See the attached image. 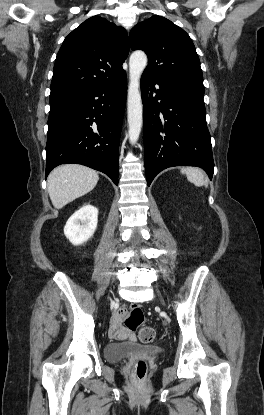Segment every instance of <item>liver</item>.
I'll use <instances>...</instances> for the list:
<instances>
[{"label":"liver","mask_w":264,"mask_h":415,"mask_svg":"<svg viewBox=\"0 0 264 415\" xmlns=\"http://www.w3.org/2000/svg\"><path fill=\"white\" fill-rule=\"evenodd\" d=\"M98 173L83 165L66 164L56 167L47 179L48 193L53 206L61 209L73 200L94 189Z\"/></svg>","instance_id":"1"}]
</instances>
